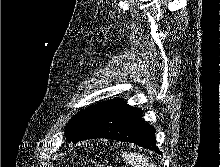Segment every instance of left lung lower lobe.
<instances>
[{
	"instance_id": "left-lung-lower-lobe-1",
	"label": "left lung lower lobe",
	"mask_w": 220,
	"mask_h": 167,
	"mask_svg": "<svg viewBox=\"0 0 220 167\" xmlns=\"http://www.w3.org/2000/svg\"><path fill=\"white\" fill-rule=\"evenodd\" d=\"M141 114L142 110L129 106L123 99L113 100L89 130L73 143L107 138L134 143L161 154L156 147L155 129L142 120Z\"/></svg>"
}]
</instances>
